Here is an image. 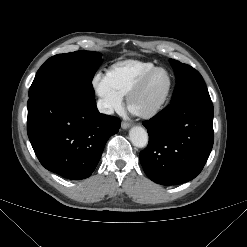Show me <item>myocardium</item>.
<instances>
[{"instance_id":"myocardium-1","label":"myocardium","mask_w":247,"mask_h":247,"mask_svg":"<svg viewBox=\"0 0 247 247\" xmlns=\"http://www.w3.org/2000/svg\"><path fill=\"white\" fill-rule=\"evenodd\" d=\"M159 71H163L167 75V78H168V85H167L165 92L159 99L152 102L147 107L143 109H137L135 107L136 102L143 96L152 78ZM172 88H173V79H172L171 73L164 67H154L153 69H151L148 73H146L143 76V78L138 82V84L128 94L127 105H128L129 111L135 114L136 116L143 117V118H151L157 115L167 103L171 95Z\"/></svg>"}]
</instances>
